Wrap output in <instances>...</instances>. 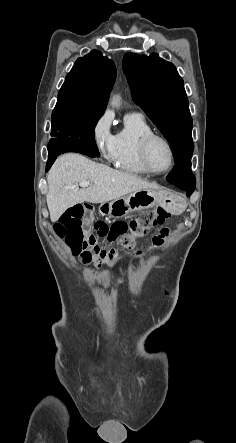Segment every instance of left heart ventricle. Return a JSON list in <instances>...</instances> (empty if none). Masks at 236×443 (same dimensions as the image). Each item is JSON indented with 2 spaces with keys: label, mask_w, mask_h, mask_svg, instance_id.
Wrapping results in <instances>:
<instances>
[{
  "label": "left heart ventricle",
  "mask_w": 236,
  "mask_h": 443,
  "mask_svg": "<svg viewBox=\"0 0 236 443\" xmlns=\"http://www.w3.org/2000/svg\"><path fill=\"white\" fill-rule=\"evenodd\" d=\"M149 160L152 167L158 171L165 170L170 163V152L166 144L160 140L152 142L149 148Z\"/></svg>",
  "instance_id": "obj_1"
}]
</instances>
